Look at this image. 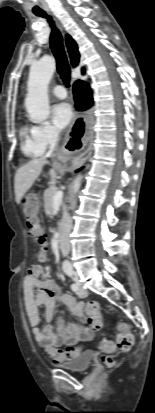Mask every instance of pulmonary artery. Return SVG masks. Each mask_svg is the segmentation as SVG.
I'll return each instance as SVG.
<instances>
[{"instance_id": "obj_1", "label": "pulmonary artery", "mask_w": 155, "mask_h": 413, "mask_svg": "<svg viewBox=\"0 0 155 413\" xmlns=\"http://www.w3.org/2000/svg\"><path fill=\"white\" fill-rule=\"evenodd\" d=\"M52 93L54 96H56L59 99H64L67 96V92L65 88L61 85H57L53 88Z\"/></svg>"}]
</instances>
